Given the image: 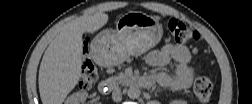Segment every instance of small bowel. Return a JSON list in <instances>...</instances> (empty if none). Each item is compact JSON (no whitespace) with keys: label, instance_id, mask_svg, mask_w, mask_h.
Wrapping results in <instances>:
<instances>
[{"label":"small bowel","instance_id":"small-bowel-1","mask_svg":"<svg viewBox=\"0 0 252 104\" xmlns=\"http://www.w3.org/2000/svg\"><path fill=\"white\" fill-rule=\"evenodd\" d=\"M146 61L154 67L174 64L172 73L161 71L155 76L161 86L174 91L189 88L195 76V69L190 64V51L181 44H166L159 50L151 51Z\"/></svg>","mask_w":252,"mask_h":104}]
</instances>
